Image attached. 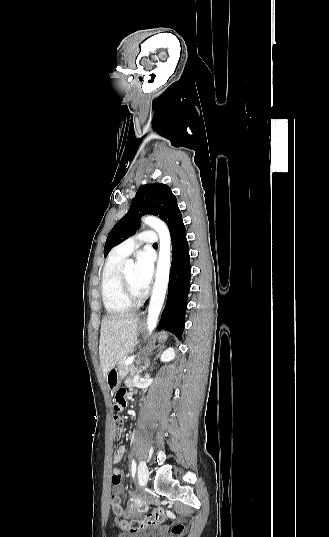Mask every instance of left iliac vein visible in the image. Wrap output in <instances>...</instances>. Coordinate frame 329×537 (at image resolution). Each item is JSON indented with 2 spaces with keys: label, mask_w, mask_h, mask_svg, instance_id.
I'll use <instances>...</instances> for the list:
<instances>
[{
  "label": "left iliac vein",
  "mask_w": 329,
  "mask_h": 537,
  "mask_svg": "<svg viewBox=\"0 0 329 537\" xmlns=\"http://www.w3.org/2000/svg\"><path fill=\"white\" fill-rule=\"evenodd\" d=\"M148 478H149L148 467L144 461H141L138 467V479H139V484L141 487L147 484Z\"/></svg>",
  "instance_id": "1"
}]
</instances>
